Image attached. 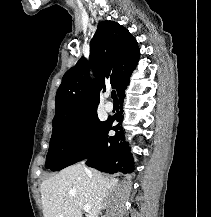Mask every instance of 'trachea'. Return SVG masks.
<instances>
[{
	"mask_svg": "<svg viewBox=\"0 0 211 217\" xmlns=\"http://www.w3.org/2000/svg\"><path fill=\"white\" fill-rule=\"evenodd\" d=\"M111 96H112V98H113V100H114L115 102L118 101V99H117V94H116V91H115V90L112 91Z\"/></svg>",
	"mask_w": 211,
	"mask_h": 217,
	"instance_id": "3493384b",
	"label": "trachea"
}]
</instances>
